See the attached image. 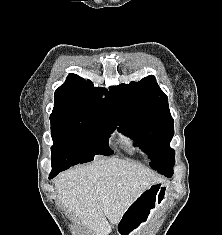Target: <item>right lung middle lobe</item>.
Here are the masks:
<instances>
[{
    "label": "right lung middle lobe",
    "mask_w": 222,
    "mask_h": 235,
    "mask_svg": "<svg viewBox=\"0 0 222 235\" xmlns=\"http://www.w3.org/2000/svg\"><path fill=\"white\" fill-rule=\"evenodd\" d=\"M52 171L59 173L78 163L92 161L95 155H111L109 135L117 120L93 114H61L50 116Z\"/></svg>",
    "instance_id": "dd1d6c3e"
}]
</instances>
